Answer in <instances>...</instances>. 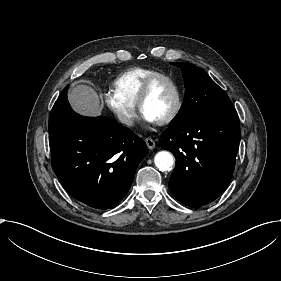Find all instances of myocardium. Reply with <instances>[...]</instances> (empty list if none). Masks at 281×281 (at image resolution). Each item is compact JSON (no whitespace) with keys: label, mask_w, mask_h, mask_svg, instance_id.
<instances>
[{"label":"myocardium","mask_w":281,"mask_h":281,"mask_svg":"<svg viewBox=\"0 0 281 281\" xmlns=\"http://www.w3.org/2000/svg\"><path fill=\"white\" fill-rule=\"evenodd\" d=\"M162 82H166L171 85L175 93V103L171 113L164 120L157 123L160 126H165L171 124L178 117L182 109V91L179 84L174 78L167 74H160L151 77L144 85L138 98L137 105L140 113L143 114L144 103L150 97L154 88Z\"/></svg>","instance_id":"1"}]
</instances>
